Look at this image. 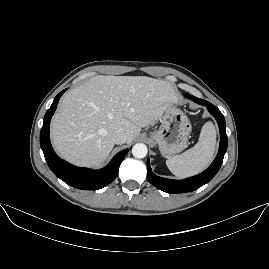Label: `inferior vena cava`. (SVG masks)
<instances>
[{
    "label": "inferior vena cava",
    "instance_id": "1",
    "mask_svg": "<svg viewBox=\"0 0 269 269\" xmlns=\"http://www.w3.org/2000/svg\"><path fill=\"white\" fill-rule=\"evenodd\" d=\"M112 141L115 143V144H118V145H121V144H124L126 143L127 141V134L125 131L119 129V130H116L113 134H112Z\"/></svg>",
    "mask_w": 269,
    "mask_h": 269
}]
</instances>
